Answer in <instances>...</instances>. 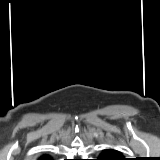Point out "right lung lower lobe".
<instances>
[{"label": "right lung lower lobe", "mask_w": 160, "mask_h": 160, "mask_svg": "<svg viewBox=\"0 0 160 160\" xmlns=\"http://www.w3.org/2000/svg\"><path fill=\"white\" fill-rule=\"evenodd\" d=\"M38 160H52L51 157L47 154L42 155Z\"/></svg>", "instance_id": "right-lung-lower-lobe-1"}]
</instances>
